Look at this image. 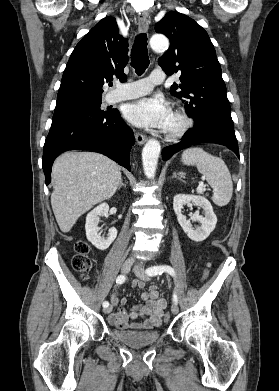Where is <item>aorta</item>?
Here are the masks:
<instances>
[{"label":"aorta","instance_id":"obj_1","mask_svg":"<svg viewBox=\"0 0 279 391\" xmlns=\"http://www.w3.org/2000/svg\"><path fill=\"white\" fill-rule=\"evenodd\" d=\"M150 46L154 51H164L168 48L169 41L163 35H154L150 39ZM160 151V143L155 139L148 140L142 150L143 170L148 179L155 177Z\"/></svg>","mask_w":279,"mask_h":391}]
</instances>
